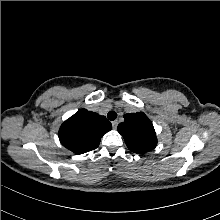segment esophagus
<instances>
[{"mask_svg": "<svg viewBox=\"0 0 220 220\" xmlns=\"http://www.w3.org/2000/svg\"><path fill=\"white\" fill-rule=\"evenodd\" d=\"M112 126H113L114 129H116L117 126H118V121L117 120L113 121Z\"/></svg>", "mask_w": 220, "mask_h": 220, "instance_id": "34e87169", "label": "esophagus"}]
</instances>
